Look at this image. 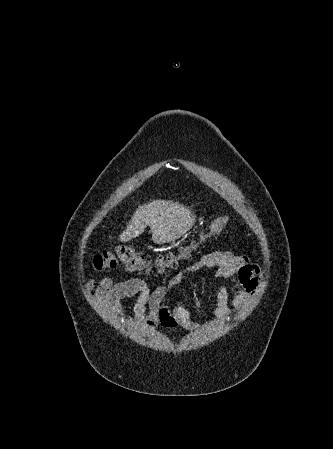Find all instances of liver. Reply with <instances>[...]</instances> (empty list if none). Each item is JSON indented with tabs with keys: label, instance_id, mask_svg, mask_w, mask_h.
<instances>
[{
	"label": "liver",
	"instance_id": "1",
	"mask_svg": "<svg viewBox=\"0 0 333 449\" xmlns=\"http://www.w3.org/2000/svg\"><path fill=\"white\" fill-rule=\"evenodd\" d=\"M191 210L183 205L165 200H153L139 206L126 229L120 234V242H128L141 235L147 226L154 243L162 244L180 238L194 225Z\"/></svg>",
	"mask_w": 333,
	"mask_h": 449
}]
</instances>
